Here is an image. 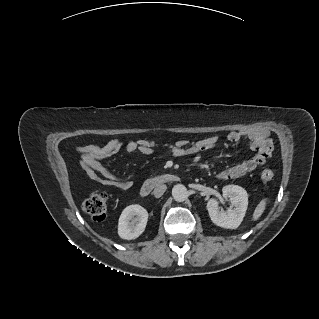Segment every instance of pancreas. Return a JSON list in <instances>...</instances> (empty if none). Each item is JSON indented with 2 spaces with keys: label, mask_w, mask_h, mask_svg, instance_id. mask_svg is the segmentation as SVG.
<instances>
[{
  "label": "pancreas",
  "mask_w": 319,
  "mask_h": 319,
  "mask_svg": "<svg viewBox=\"0 0 319 319\" xmlns=\"http://www.w3.org/2000/svg\"><path fill=\"white\" fill-rule=\"evenodd\" d=\"M154 180H155L156 182H159V181H160V177L157 176V177L154 178Z\"/></svg>",
  "instance_id": "obj_1"
}]
</instances>
